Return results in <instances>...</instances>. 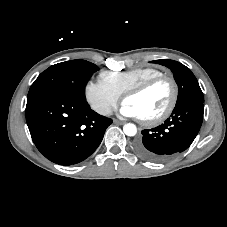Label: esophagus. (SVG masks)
<instances>
[{
	"mask_svg": "<svg viewBox=\"0 0 227 227\" xmlns=\"http://www.w3.org/2000/svg\"><path fill=\"white\" fill-rule=\"evenodd\" d=\"M113 122L115 124H118V125H123L125 123L124 121H120V120H117V119H114Z\"/></svg>",
	"mask_w": 227,
	"mask_h": 227,
	"instance_id": "1",
	"label": "esophagus"
}]
</instances>
